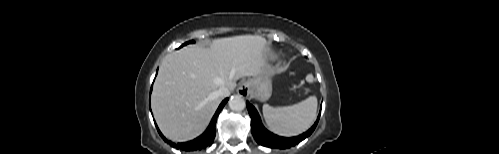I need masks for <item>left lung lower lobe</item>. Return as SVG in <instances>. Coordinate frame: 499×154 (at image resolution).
<instances>
[{"mask_svg":"<svg viewBox=\"0 0 499 154\" xmlns=\"http://www.w3.org/2000/svg\"><path fill=\"white\" fill-rule=\"evenodd\" d=\"M246 105H247L248 112H249L250 117H251V131H252L253 137L255 138L256 142L259 143L260 145H263L266 147L279 148V149H286V148H290L292 146H295L296 144H298L299 142H301L302 140H304L305 138L310 136L317 126V123H318L319 118H320V113H321V110H320V113L317 117L316 122L305 133H303L299 136H296V137H292V138H284V137H280V136H277V135L269 132L262 125L261 119H260V116H259L257 110L248 101L246 102Z\"/></svg>","mask_w":499,"mask_h":154,"instance_id":"1","label":"left lung lower lobe"}]
</instances>
